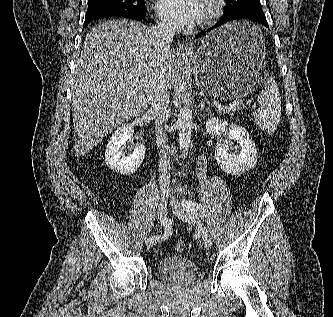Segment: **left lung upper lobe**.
<instances>
[{
	"instance_id": "1",
	"label": "left lung upper lobe",
	"mask_w": 333,
	"mask_h": 317,
	"mask_svg": "<svg viewBox=\"0 0 333 317\" xmlns=\"http://www.w3.org/2000/svg\"><path fill=\"white\" fill-rule=\"evenodd\" d=\"M225 13H231L243 9L261 8L260 0H225Z\"/></svg>"
}]
</instances>
